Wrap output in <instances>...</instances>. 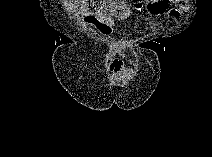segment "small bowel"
I'll return each instance as SVG.
<instances>
[{
    "label": "small bowel",
    "instance_id": "obj_1",
    "mask_svg": "<svg viewBox=\"0 0 212 157\" xmlns=\"http://www.w3.org/2000/svg\"><path fill=\"white\" fill-rule=\"evenodd\" d=\"M71 5L81 11L83 26L94 27L104 36H110L115 21L126 19L132 9L146 8L154 16L168 14L177 21L183 19L187 9L186 3L182 0H132L131 3L124 0L76 1ZM109 69L111 71L110 80L113 81L129 74V70L123 66L122 61L118 58L110 61Z\"/></svg>",
    "mask_w": 212,
    "mask_h": 157
}]
</instances>
